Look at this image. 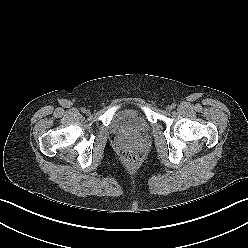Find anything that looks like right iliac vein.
Masks as SVG:
<instances>
[{"mask_svg": "<svg viewBox=\"0 0 248 248\" xmlns=\"http://www.w3.org/2000/svg\"><path fill=\"white\" fill-rule=\"evenodd\" d=\"M85 112H86L87 114H89V113H90V110H86Z\"/></svg>", "mask_w": 248, "mask_h": 248, "instance_id": "1", "label": "right iliac vein"}]
</instances>
